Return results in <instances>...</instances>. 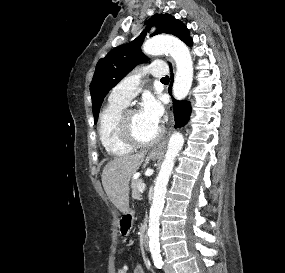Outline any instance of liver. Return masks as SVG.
Segmentation results:
<instances>
[{"instance_id": "6515ba94", "label": "liver", "mask_w": 285, "mask_h": 273, "mask_svg": "<svg viewBox=\"0 0 285 273\" xmlns=\"http://www.w3.org/2000/svg\"><path fill=\"white\" fill-rule=\"evenodd\" d=\"M147 151L110 160L102 171V184L111 202L123 214L129 211V181L141 166Z\"/></svg>"}]
</instances>
